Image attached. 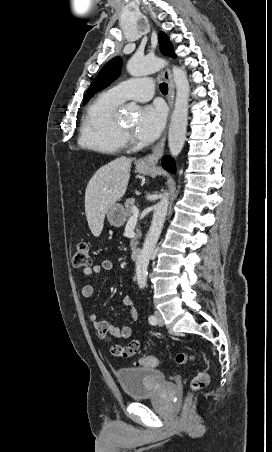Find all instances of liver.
I'll return each instance as SVG.
<instances>
[{
  "mask_svg": "<svg viewBox=\"0 0 272 452\" xmlns=\"http://www.w3.org/2000/svg\"><path fill=\"white\" fill-rule=\"evenodd\" d=\"M132 159L116 158L99 168L85 192V213L91 233L99 237L108 209L125 194L130 179Z\"/></svg>",
  "mask_w": 272,
  "mask_h": 452,
  "instance_id": "obj_1",
  "label": "liver"
}]
</instances>
